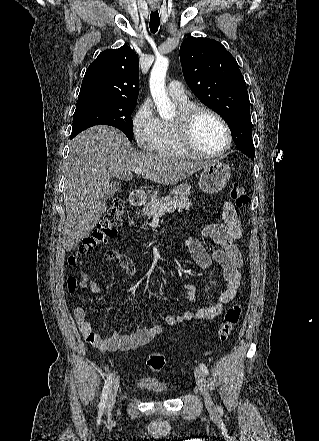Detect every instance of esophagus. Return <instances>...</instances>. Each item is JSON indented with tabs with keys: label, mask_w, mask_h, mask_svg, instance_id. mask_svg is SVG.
Returning a JSON list of instances; mask_svg holds the SVG:
<instances>
[{
	"label": "esophagus",
	"mask_w": 319,
	"mask_h": 441,
	"mask_svg": "<svg viewBox=\"0 0 319 441\" xmlns=\"http://www.w3.org/2000/svg\"><path fill=\"white\" fill-rule=\"evenodd\" d=\"M151 8H152V10H154V11H156V10L158 9V7H157L156 5H153Z\"/></svg>",
	"instance_id": "esophagus-1"
}]
</instances>
